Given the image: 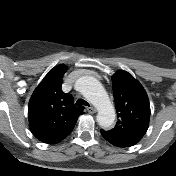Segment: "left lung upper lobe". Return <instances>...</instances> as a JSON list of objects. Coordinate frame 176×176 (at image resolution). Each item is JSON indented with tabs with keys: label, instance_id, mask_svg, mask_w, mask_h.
<instances>
[{
	"label": "left lung upper lobe",
	"instance_id": "left-lung-upper-lobe-1",
	"mask_svg": "<svg viewBox=\"0 0 176 176\" xmlns=\"http://www.w3.org/2000/svg\"><path fill=\"white\" fill-rule=\"evenodd\" d=\"M112 82L118 121L113 129L101 131L128 146H133L147 132L150 118L149 99L141 84L126 71H117Z\"/></svg>",
	"mask_w": 176,
	"mask_h": 176
}]
</instances>
